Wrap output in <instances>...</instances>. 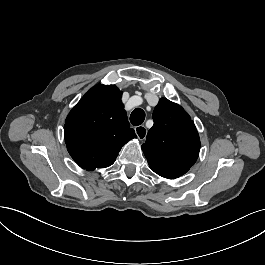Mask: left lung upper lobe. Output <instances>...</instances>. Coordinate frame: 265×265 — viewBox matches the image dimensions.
<instances>
[{
    "label": "left lung upper lobe",
    "mask_w": 265,
    "mask_h": 265,
    "mask_svg": "<svg viewBox=\"0 0 265 265\" xmlns=\"http://www.w3.org/2000/svg\"><path fill=\"white\" fill-rule=\"evenodd\" d=\"M153 119L154 125L142 145L151 170L168 179L184 175L200 150L194 123L181 106L165 98L155 107Z\"/></svg>",
    "instance_id": "left-lung-upper-lobe-1"
}]
</instances>
